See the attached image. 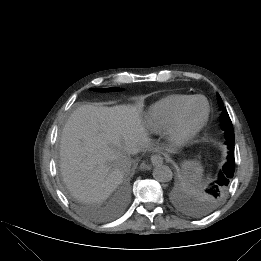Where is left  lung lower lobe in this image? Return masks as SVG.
Listing matches in <instances>:
<instances>
[{
	"mask_svg": "<svg viewBox=\"0 0 261 261\" xmlns=\"http://www.w3.org/2000/svg\"><path fill=\"white\" fill-rule=\"evenodd\" d=\"M228 149H229L228 156H227L228 160L222 169H224V172L231 179L233 177L234 171H235L234 145H232L231 147H228Z\"/></svg>",
	"mask_w": 261,
	"mask_h": 261,
	"instance_id": "left-lung-lower-lobe-1",
	"label": "left lung lower lobe"
}]
</instances>
